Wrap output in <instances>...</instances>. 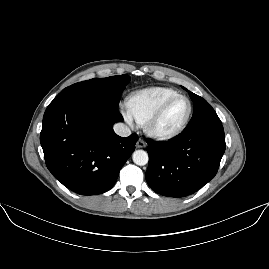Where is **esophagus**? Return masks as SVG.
Returning a JSON list of instances; mask_svg holds the SVG:
<instances>
[{
	"label": "esophagus",
	"instance_id": "34e87169",
	"mask_svg": "<svg viewBox=\"0 0 269 269\" xmlns=\"http://www.w3.org/2000/svg\"><path fill=\"white\" fill-rule=\"evenodd\" d=\"M137 148H145L146 147V142L142 139H139L136 143Z\"/></svg>",
	"mask_w": 269,
	"mask_h": 269
}]
</instances>
